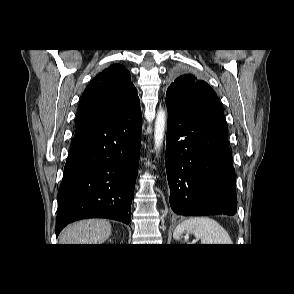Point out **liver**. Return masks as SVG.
<instances>
[{"instance_id":"6515ba94","label":"liver","mask_w":294,"mask_h":294,"mask_svg":"<svg viewBox=\"0 0 294 294\" xmlns=\"http://www.w3.org/2000/svg\"><path fill=\"white\" fill-rule=\"evenodd\" d=\"M112 226L103 219H87L68 225L60 234V244H102L111 235Z\"/></svg>"}]
</instances>
